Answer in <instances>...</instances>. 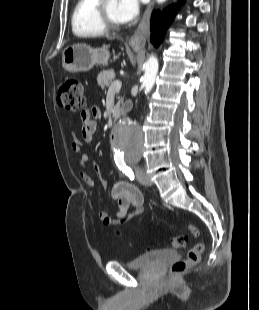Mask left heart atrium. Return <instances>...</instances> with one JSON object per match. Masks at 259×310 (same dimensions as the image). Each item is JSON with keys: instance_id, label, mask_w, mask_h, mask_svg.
<instances>
[{"instance_id": "obj_1", "label": "left heart atrium", "mask_w": 259, "mask_h": 310, "mask_svg": "<svg viewBox=\"0 0 259 310\" xmlns=\"http://www.w3.org/2000/svg\"><path fill=\"white\" fill-rule=\"evenodd\" d=\"M140 0H119L117 2V17L120 23H128L139 13Z\"/></svg>"}]
</instances>
